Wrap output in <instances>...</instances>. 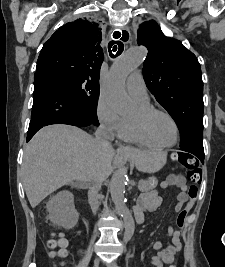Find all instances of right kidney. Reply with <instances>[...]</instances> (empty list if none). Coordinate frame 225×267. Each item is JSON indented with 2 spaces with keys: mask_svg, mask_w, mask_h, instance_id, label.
Masks as SVG:
<instances>
[{
  "mask_svg": "<svg viewBox=\"0 0 225 267\" xmlns=\"http://www.w3.org/2000/svg\"><path fill=\"white\" fill-rule=\"evenodd\" d=\"M47 210L51 222L65 229L73 228L78 222L74 197L69 191H61L53 196L47 204Z\"/></svg>",
  "mask_w": 225,
  "mask_h": 267,
  "instance_id": "right-kidney-1",
  "label": "right kidney"
}]
</instances>
